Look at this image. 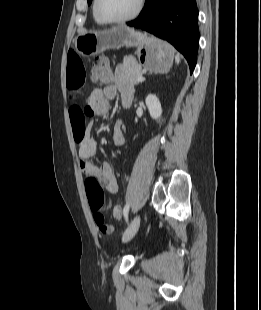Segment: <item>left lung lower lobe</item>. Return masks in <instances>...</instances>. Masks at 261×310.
<instances>
[{"label":"left lung lower lobe","mask_w":261,"mask_h":310,"mask_svg":"<svg viewBox=\"0 0 261 310\" xmlns=\"http://www.w3.org/2000/svg\"><path fill=\"white\" fill-rule=\"evenodd\" d=\"M195 0H146L138 18L127 25L141 28L170 42L188 61L193 72L199 43Z\"/></svg>","instance_id":"left-lung-lower-lobe-1"}]
</instances>
